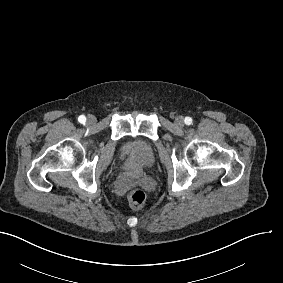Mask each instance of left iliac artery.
<instances>
[{"label":"left iliac artery","instance_id":"obj_1","mask_svg":"<svg viewBox=\"0 0 283 283\" xmlns=\"http://www.w3.org/2000/svg\"><path fill=\"white\" fill-rule=\"evenodd\" d=\"M184 122H185L186 125H190V124H192V118L186 117Z\"/></svg>","mask_w":283,"mask_h":283}]
</instances>
